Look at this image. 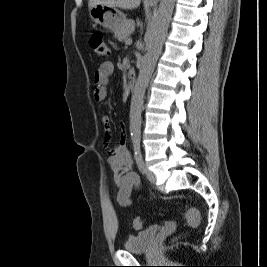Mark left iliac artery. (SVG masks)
<instances>
[{
  "mask_svg": "<svg viewBox=\"0 0 267 267\" xmlns=\"http://www.w3.org/2000/svg\"><path fill=\"white\" fill-rule=\"evenodd\" d=\"M133 146H134V157H135L137 166L139 170L142 173H144V162H143L141 148H140V141L139 140L134 141Z\"/></svg>",
  "mask_w": 267,
  "mask_h": 267,
  "instance_id": "obj_1",
  "label": "left iliac artery"
}]
</instances>
